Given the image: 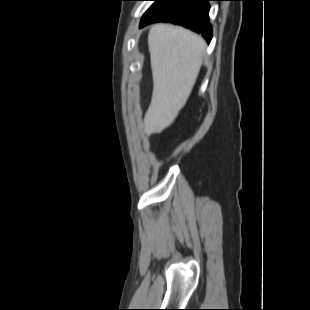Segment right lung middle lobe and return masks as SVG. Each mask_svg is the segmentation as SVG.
I'll use <instances>...</instances> for the list:
<instances>
[{"mask_svg":"<svg viewBox=\"0 0 310 310\" xmlns=\"http://www.w3.org/2000/svg\"><path fill=\"white\" fill-rule=\"evenodd\" d=\"M155 1V3H157V2H159V1H161V0H154Z\"/></svg>","mask_w":310,"mask_h":310,"instance_id":"obj_1","label":"right lung middle lobe"}]
</instances>
